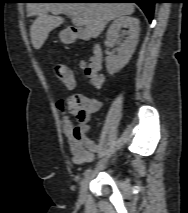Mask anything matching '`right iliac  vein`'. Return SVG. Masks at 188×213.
Masks as SVG:
<instances>
[{"mask_svg": "<svg viewBox=\"0 0 188 213\" xmlns=\"http://www.w3.org/2000/svg\"><path fill=\"white\" fill-rule=\"evenodd\" d=\"M89 181H90V175L86 176L84 180L82 181V184L80 187V194H79V197L81 200H83L86 196Z\"/></svg>", "mask_w": 188, "mask_h": 213, "instance_id": "63e3f726", "label": "right iliac vein"}]
</instances>
